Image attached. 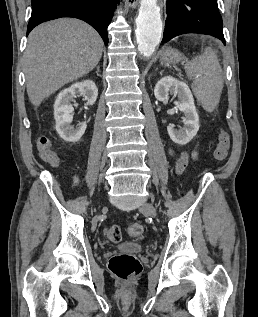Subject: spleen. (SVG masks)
Masks as SVG:
<instances>
[{
    "label": "spleen",
    "instance_id": "3e777b00",
    "mask_svg": "<svg viewBox=\"0 0 258 317\" xmlns=\"http://www.w3.org/2000/svg\"><path fill=\"white\" fill-rule=\"evenodd\" d=\"M185 70L189 78H194L192 90L204 110L212 112L219 104L223 78L222 70L216 52L211 46L204 48V52L186 62Z\"/></svg>",
    "mask_w": 258,
    "mask_h": 317
}]
</instances>
